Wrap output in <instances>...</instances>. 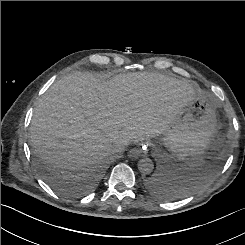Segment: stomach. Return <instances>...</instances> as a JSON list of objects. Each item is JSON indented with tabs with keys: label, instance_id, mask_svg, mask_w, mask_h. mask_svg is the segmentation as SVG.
Returning <instances> with one entry per match:
<instances>
[{
	"label": "stomach",
	"instance_id": "1",
	"mask_svg": "<svg viewBox=\"0 0 245 245\" xmlns=\"http://www.w3.org/2000/svg\"><path fill=\"white\" fill-rule=\"evenodd\" d=\"M216 110L213 98L196 95L162 133L159 143L180 160L204 155L218 137Z\"/></svg>",
	"mask_w": 245,
	"mask_h": 245
}]
</instances>
